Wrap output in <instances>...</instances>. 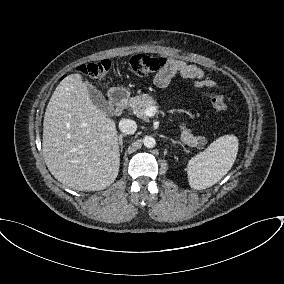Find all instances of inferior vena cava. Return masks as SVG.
Returning a JSON list of instances; mask_svg holds the SVG:
<instances>
[{
    "mask_svg": "<svg viewBox=\"0 0 284 284\" xmlns=\"http://www.w3.org/2000/svg\"><path fill=\"white\" fill-rule=\"evenodd\" d=\"M119 129L125 135H131L135 133L137 124L131 119H122L119 122Z\"/></svg>",
    "mask_w": 284,
    "mask_h": 284,
    "instance_id": "602c4592",
    "label": "inferior vena cava"
}]
</instances>
